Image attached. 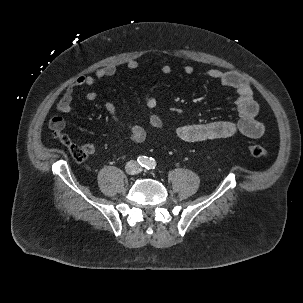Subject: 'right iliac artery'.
I'll return each instance as SVG.
<instances>
[{"mask_svg":"<svg viewBox=\"0 0 303 303\" xmlns=\"http://www.w3.org/2000/svg\"><path fill=\"white\" fill-rule=\"evenodd\" d=\"M137 161H138V163H139L141 166H146L147 163H148V159H147L146 156H139V157L137 158Z\"/></svg>","mask_w":303,"mask_h":303,"instance_id":"obj_1","label":"right iliac artery"}]
</instances>
